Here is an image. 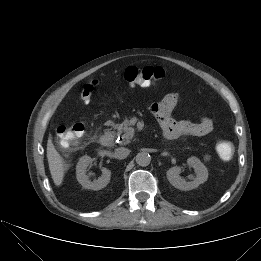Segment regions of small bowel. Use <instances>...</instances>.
Instances as JSON below:
<instances>
[{
	"label": "small bowel",
	"instance_id": "obj_1",
	"mask_svg": "<svg viewBox=\"0 0 261 261\" xmlns=\"http://www.w3.org/2000/svg\"><path fill=\"white\" fill-rule=\"evenodd\" d=\"M178 103V95L170 93L159 102L148 104L150 110L156 116L164 137L176 139L184 135L204 136L213 130V121L209 117H203L200 121L192 123L189 121H175L171 118V112Z\"/></svg>",
	"mask_w": 261,
	"mask_h": 261
}]
</instances>
